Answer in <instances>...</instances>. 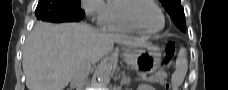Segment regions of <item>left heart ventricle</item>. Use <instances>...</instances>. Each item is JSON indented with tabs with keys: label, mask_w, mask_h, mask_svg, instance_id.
Wrapping results in <instances>:
<instances>
[{
	"label": "left heart ventricle",
	"mask_w": 228,
	"mask_h": 90,
	"mask_svg": "<svg viewBox=\"0 0 228 90\" xmlns=\"http://www.w3.org/2000/svg\"><path fill=\"white\" fill-rule=\"evenodd\" d=\"M136 17L147 29L157 30L162 26V17L156 7L150 3H143L136 11Z\"/></svg>",
	"instance_id": "left-heart-ventricle-1"
}]
</instances>
